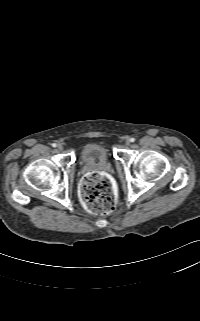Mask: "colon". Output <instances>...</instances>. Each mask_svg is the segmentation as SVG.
Instances as JSON below:
<instances>
[{
    "mask_svg": "<svg viewBox=\"0 0 200 321\" xmlns=\"http://www.w3.org/2000/svg\"><path fill=\"white\" fill-rule=\"evenodd\" d=\"M80 197L86 209L94 214H106L115 208L112 183L102 171H92L80 183Z\"/></svg>",
    "mask_w": 200,
    "mask_h": 321,
    "instance_id": "obj_1",
    "label": "colon"
}]
</instances>
